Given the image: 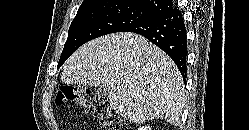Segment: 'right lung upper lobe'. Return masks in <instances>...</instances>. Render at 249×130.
<instances>
[{
  "mask_svg": "<svg viewBox=\"0 0 249 130\" xmlns=\"http://www.w3.org/2000/svg\"><path fill=\"white\" fill-rule=\"evenodd\" d=\"M106 1L120 4H130L145 10L153 11L158 15H161L173 8V2L171 0H84L81 6Z\"/></svg>",
  "mask_w": 249,
  "mask_h": 130,
  "instance_id": "obj_1",
  "label": "right lung upper lobe"
}]
</instances>
